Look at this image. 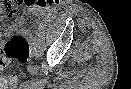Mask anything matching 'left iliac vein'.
<instances>
[{"label": "left iliac vein", "instance_id": "left-iliac-vein-1", "mask_svg": "<svg viewBox=\"0 0 131 89\" xmlns=\"http://www.w3.org/2000/svg\"><path fill=\"white\" fill-rule=\"evenodd\" d=\"M42 54V50H39L38 52H37V55H41Z\"/></svg>", "mask_w": 131, "mask_h": 89}]
</instances>
